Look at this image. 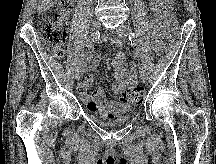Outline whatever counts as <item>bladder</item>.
I'll list each match as a JSON object with an SVG mask.
<instances>
[{
    "mask_svg": "<svg viewBox=\"0 0 216 164\" xmlns=\"http://www.w3.org/2000/svg\"><path fill=\"white\" fill-rule=\"evenodd\" d=\"M133 116V112H129L126 115H123L119 118L108 120V121H103L99 119H95V122L106 127H115L118 125H122L126 122H128Z\"/></svg>",
    "mask_w": 216,
    "mask_h": 164,
    "instance_id": "31cf9c89",
    "label": "bladder"
}]
</instances>
